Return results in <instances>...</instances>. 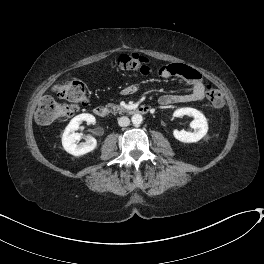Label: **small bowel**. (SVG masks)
Returning a JSON list of instances; mask_svg holds the SVG:
<instances>
[{
  "instance_id": "obj_1",
  "label": "small bowel",
  "mask_w": 264,
  "mask_h": 264,
  "mask_svg": "<svg viewBox=\"0 0 264 264\" xmlns=\"http://www.w3.org/2000/svg\"><path fill=\"white\" fill-rule=\"evenodd\" d=\"M161 76L164 78H171L179 76L184 82L190 86V92L184 95L163 94L159 98V103L162 106L172 104L199 102L205 97V86L199 76V72L195 69L182 64H171L162 68ZM135 92L133 86H129L123 90L124 95H130Z\"/></svg>"
}]
</instances>
